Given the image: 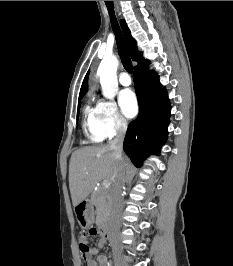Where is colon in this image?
Segmentation results:
<instances>
[{"label": "colon", "instance_id": "1", "mask_svg": "<svg viewBox=\"0 0 233 266\" xmlns=\"http://www.w3.org/2000/svg\"><path fill=\"white\" fill-rule=\"evenodd\" d=\"M97 234L96 228H90L87 232L83 233L81 236L82 241L80 242V251L82 255V259H86L89 256V249L90 247L87 244V239L91 236Z\"/></svg>", "mask_w": 233, "mask_h": 266}]
</instances>
